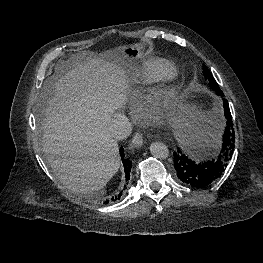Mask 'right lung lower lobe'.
I'll return each mask as SVG.
<instances>
[{"mask_svg":"<svg viewBox=\"0 0 263 263\" xmlns=\"http://www.w3.org/2000/svg\"><path fill=\"white\" fill-rule=\"evenodd\" d=\"M120 155H121V159H122V162H123L124 170H125V173H126V181H128L130 179L129 172H130L131 167H132V162L129 159H126L124 157V150H123V148H120ZM121 195H122V193H120V195L118 197L112 198L111 200H117V199L120 198ZM107 203H109V201H107Z\"/></svg>","mask_w":263,"mask_h":263,"instance_id":"right-lung-lower-lobe-1","label":"right lung lower lobe"}]
</instances>
